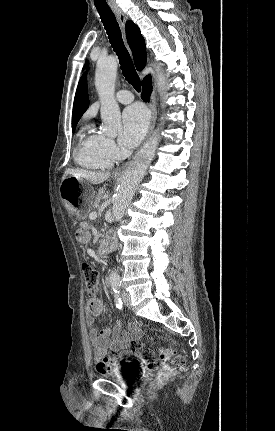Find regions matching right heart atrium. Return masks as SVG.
<instances>
[{"label": "right heart atrium", "instance_id": "right-heart-atrium-1", "mask_svg": "<svg viewBox=\"0 0 275 431\" xmlns=\"http://www.w3.org/2000/svg\"><path fill=\"white\" fill-rule=\"evenodd\" d=\"M103 149L105 153L113 160L117 159L121 154V151L116 145V143L114 142V140L110 138L105 137L104 143H103Z\"/></svg>", "mask_w": 275, "mask_h": 431}]
</instances>
